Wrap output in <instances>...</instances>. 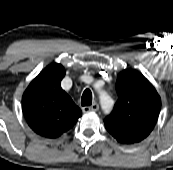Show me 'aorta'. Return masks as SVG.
<instances>
[{"label":"aorta","instance_id":"obj_1","mask_svg":"<svg viewBox=\"0 0 173 170\" xmlns=\"http://www.w3.org/2000/svg\"><path fill=\"white\" fill-rule=\"evenodd\" d=\"M100 103L103 111L109 113L113 107V100L110 96L103 94L100 98Z\"/></svg>","mask_w":173,"mask_h":170}]
</instances>
